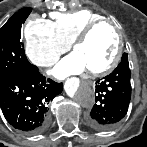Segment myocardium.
I'll list each match as a JSON object with an SVG mask.
<instances>
[{"label": "myocardium", "mask_w": 147, "mask_h": 147, "mask_svg": "<svg viewBox=\"0 0 147 147\" xmlns=\"http://www.w3.org/2000/svg\"><path fill=\"white\" fill-rule=\"evenodd\" d=\"M105 25L110 26L115 30L117 34V39H118L117 48H116V51L114 53L112 60L110 61L108 65L98 70H88V73L93 77L104 76L110 73L111 71H113L117 67L121 59L122 51H123V38H122L119 28L107 19L97 20V21L90 23L83 30H81L71 42V48L75 50L78 45L82 44L83 42L87 40L89 35L96 28L100 26H105Z\"/></svg>", "instance_id": "f54148a6"}]
</instances>
